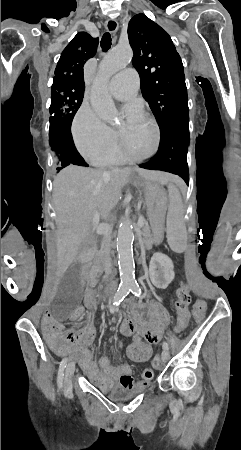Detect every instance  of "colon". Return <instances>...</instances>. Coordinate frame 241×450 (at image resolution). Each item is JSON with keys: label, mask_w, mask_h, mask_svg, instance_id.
<instances>
[{"label": "colon", "mask_w": 241, "mask_h": 450, "mask_svg": "<svg viewBox=\"0 0 241 450\" xmlns=\"http://www.w3.org/2000/svg\"><path fill=\"white\" fill-rule=\"evenodd\" d=\"M175 302H178L176 311L180 315V320H179V322H176L174 324V327L176 329H179L181 326H188L190 323V320L192 318V315L190 313V309L188 306V303L190 304V296H189V293L186 288L183 287L178 291L177 300ZM206 303H207V300L205 298L201 299L200 297H195L193 299L194 306H193L192 310H193L195 317L200 318V317L205 316V304ZM75 313L77 316L80 317V316L84 315L85 310H84V308L79 307L76 309ZM159 358H160V355L156 354L153 359L154 360L153 367H158V362L160 360Z\"/></svg>", "instance_id": "1"}]
</instances>
